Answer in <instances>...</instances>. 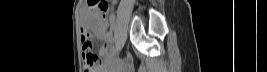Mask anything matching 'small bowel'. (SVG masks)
Wrapping results in <instances>:
<instances>
[{
  "label": "small bowel",
  "mask_w": 267,
  "mask_h": 72,
  "mask_svg": "<svg viewBox=\"0 0 267 72\" xmlns=\"http://www.w3.org/2000/svg\"><path fill=\"white\" fill-rule=\"evenodd\" d=\"M113 26V20L112 18L108 20H99L96 23V33L97 36L104 39L105 43L102 45L100 51H99V60H98V68L95 69L94 72H102L105 69V60L107 59L108 56V49H109V41H110V31ZM89 40L87 37V34L85 31L82 32L81 40H82V45L84 40Z\"/></svg>",
  "instance_id": "small-bowel-1"
}]
</instances>
